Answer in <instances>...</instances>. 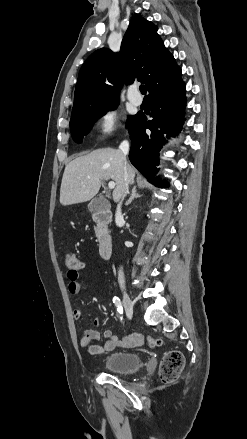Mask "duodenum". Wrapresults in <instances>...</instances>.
I'll return each mask as SVG.
<instances>
[{
    "label": "duodenum",
    "instance_id": "obj_1",
    "mask_svg": "<svg viewBox=\"0 0 247 439\" xmlns=\"http://www.w3.org/2000/svg\"><path fill=\"white\" fill-rule=\"evenodd\" d=\"M111 219L112 213L109 210H100L93 213V220L99 227V254L104 259H108L112 254V238L106 232V227Z\"/></svg>",
    "mask_w": 247,
    "mask_h": 439
}]
</instances>
